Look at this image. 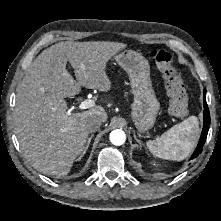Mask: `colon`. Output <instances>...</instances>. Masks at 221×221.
I'll return each instance as SVG.
<instances>
[{"label":"colon","mask_w":221,"mask_h":221,"mask_svg":"<svg viewBox=\"0 0 221 221\" xmlns=\"http://www.w3.org/2000/svg\"><path fill=\"white\" fill-rule=\"evenodd\" d=\"M149 56L161 72L170 98V112L184 116L188 111V95L179 69L174 65L173 56L162 49H153Z\"/></svg>","instance_id":"5ec220e1"}]
</instances>
